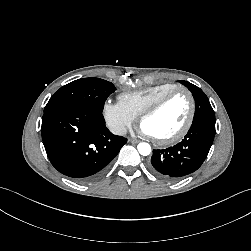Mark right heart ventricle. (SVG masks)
I'll return each mask as SVG.
<instances>
[{
  "label": "right heart ventricle",
  "instance_id": "1",
  "mask_svg": "<svg viewBox=\"0 0 251 251\" xmlns=\"http://www.w3.org/2000/svg\"><path fill=\"white\" fill-rule=\"evenodd\" d=\"M175 88V84L163 83L139 91L122 93L119 95V103L136 118L158 98Z\"/></svg>",
  "mask_w": 251,
  "mask_h": 251
}]
</instances>
